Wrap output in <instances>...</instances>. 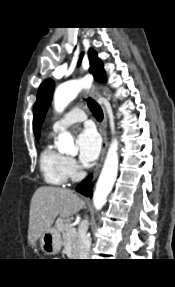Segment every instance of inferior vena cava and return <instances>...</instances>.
Masks as SVG:
<instances>
[{"mask_svg": "<svg viewBox=\"0 0 175 287\" xmlns=\"http://www.w3.org/2000/svg\"><path fill=\"white\" fill-rule=\"evenodd\" d=\"M88 222H82L79 230V259H89V252L91 247V239L87 234Z\"/></svg>", "mask_w": 175, "mask_h": 287, "instance_id": "602c4592", "label": "inferior vena cava"}]
</instances>
